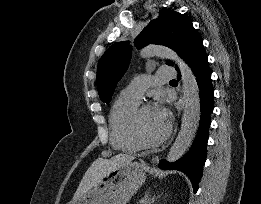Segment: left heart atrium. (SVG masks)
Instances as JSON below:
<instances>
[{
  "label": "left heart atrium",
  "mask_w": 261,
  "mask_h": 204,
  "mask_svg": "<svg viewBox=\"0 0 261 204\" xmlns=\"http://www.w3.org/2000/svg\"><path fill=\"white\" fill-rule=\"evenodd\" d=\"M156 109L158 110L160 116L167 121V113L166 111L164 110V108H162L161 106H156Z\"/></svg>",
  "instance_id": "39dd6f15"
}]
</instances>
